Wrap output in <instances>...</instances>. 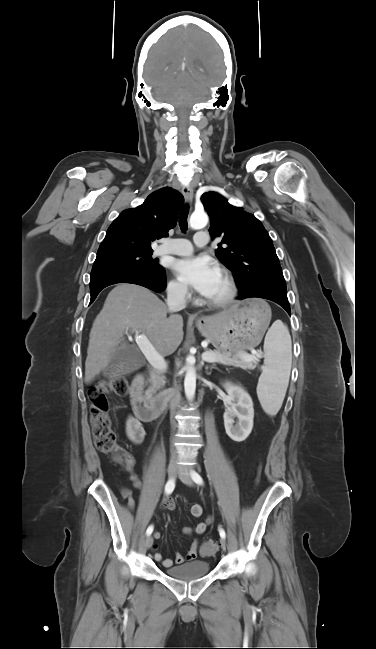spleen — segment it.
Wrapping results in <instances>:
<instances>
[{"instance_id": "spleen-1", "label": "spleen", "mask_w": 376, "mask_h": 649, "mask_svg": "<svg viewBox=\"0 0 376 649\" xmlns=\"http://www.w3.org/2000/svg\"><path fill=\"white\" fill-rule=\"evenodd\" d=\"M265 360L257 385V395L264 411L276 415L282 406L289 383L292 343L289 331L275 322L264 341Z\"/></svg>"}]
</instances>
